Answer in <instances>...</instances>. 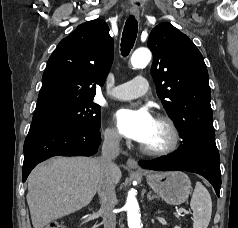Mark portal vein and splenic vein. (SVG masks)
I'll return each instance as SVG.
<instances>
[{"mask_svg": "<svg viewBox=\"0 0 238 228\" xmlns=\"http://www.w3.org/2000/svg\"><path fill=\"white\" fill-rule=\"evenodd\" d=\"M189 213L188 211H185L183 208H179L178 210H177V214L178 215H180L181 213Z\"/></svg>", "mask_w": 238, "mask_h": 228, "instance_id": "obj_1", "label": "portal vein and splenic vein"}]
</instances>
